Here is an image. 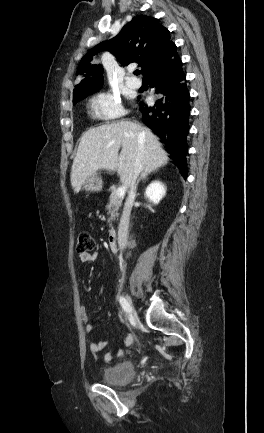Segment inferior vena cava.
<instances>
[{
    "mask_svg": "<svg viewBox=\"0 0 264 433\" xmlns=\"http://www.w3.org/2000/svg\"><path fill=\"white\" fill-rule=\"evenodd\" d=\"M141 136H143V133H140V137ZM142 169H143L142 156H141V153H139L137 156L135 168H134L131 180H130L128 198L126 200L124 210L121 211L122 218H121V222H120V232L118 233V237H117V240L119 241V245L117 246V249L119 250V254H124L125 249H126V246L124 245V241L126 240L131 207H132V203L135 199V194H136V180H137L138 175L142 171Z\"/></svg>",
    "mask_w": 264,
    "mask_h": 433,
    "instance_id": "1",
    "label": "inferior vena cava"
}]
</instances>
